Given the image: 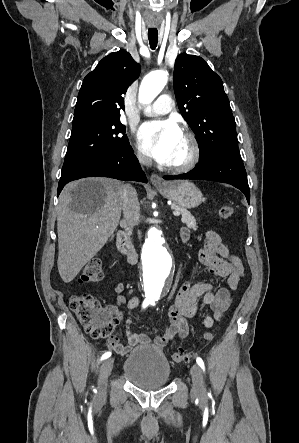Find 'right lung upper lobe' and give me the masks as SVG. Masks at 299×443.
I'll return each instance as SVG.
<instances>
[{"label": "right lung upper lobe", "instance_id": "1", "mask_svg": "<svg viewBox=\"0 0 299 443\" xmlns=\"http://www.w3.org/2000/svg\"><path fill=\"white\" fill-rule=\"evenodd\" d=\"M140 65L120 50L104 57L83 80L73 123L87 119L120 117L122 94L138 78Z\"/></svg>", "mask_w": 299, "mask_h": 443}]
</instances>
